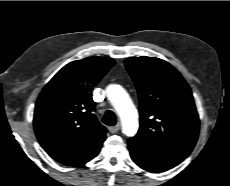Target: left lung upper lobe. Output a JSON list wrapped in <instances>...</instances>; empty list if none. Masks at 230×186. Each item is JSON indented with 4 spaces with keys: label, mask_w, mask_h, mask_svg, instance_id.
Listing matches in <instances>:
<instances>
[{
    "label": "left lung upper lobe",
    "mask_w": 230,
    "mask_h": 186,
    "mask_svg": "<svg viewBox=\"0 0 230 186\" xmlns=\"http://www.w3.org/2000/svg\"><path fill=\"white\" fill-rule=\"evenodd\" d=\"M140 100V127L130 138L147 147L187 157L199 133L192 92L168 62L147 56L124 61Z\"/></svg>",
    "instance_id": "5c2ea615"
}]
</instances>
